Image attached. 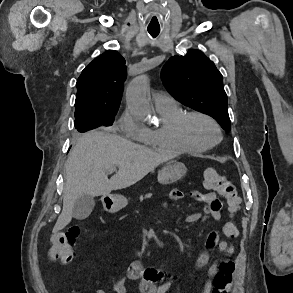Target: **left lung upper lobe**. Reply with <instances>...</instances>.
<instances>
[{
    "instance_id": "1",
    "label": "left lung upper lobe",
    "mask_w": 293,
    "mask_h": 293,
    "mask_svg": "<svg viewBox=\"0 0 293 293\" xmlns=\"http://www.w3.org/2000/svg\"><path fill=\"white\" fill-rule=\"evenodd\" d=\"M161 78L179 102L210 115L225 130L231 129L222 74L201 51L171 57L162 68Z\"/></svg>"
}]
</instances>
